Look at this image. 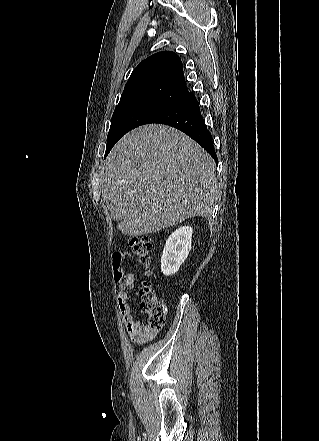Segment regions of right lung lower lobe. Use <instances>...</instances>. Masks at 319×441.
<instances>
[{
	"label": "right lung lower lobe",
	"mask_w": 319,
	"mask_h": 441,
	"mask_svg": "<svg viewBox=\"0 0 319 441\" xmlns=\"http://www.w3.org/2000/svg\"><path fill=\"white\" fill-rule=\"evenodd\" d=\"M150 123H160L177 128L194 139L217 161L213 139L207 130L195 96L188 92L179 101L153 117Z\"/></svg>",
	"instance_id": "98d812e1"
}]
</instances>
